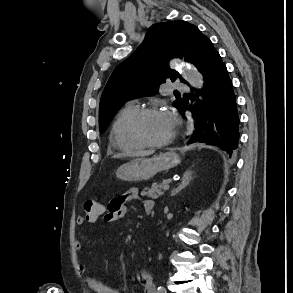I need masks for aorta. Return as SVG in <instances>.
I'll return each instance as SVG.
<instances>
[{
  "instance_id": "aorta-1",
  "label": "aorta",
  "mask_w": 293,
  "mask_h": 293,
  "mask_svg": "<svg viewBox=\"0 0 293 293\" xmlns=\"http://www.w3.org/2000/svg\"><path fill=\"white\" fill-rule=\"evenodd\" d=\"M174 65V63H173ZM182 75L184 79L195 88H202L203 79L198 70L190 65H187L182 68Z\"/></svg>"
}]
</instances>
